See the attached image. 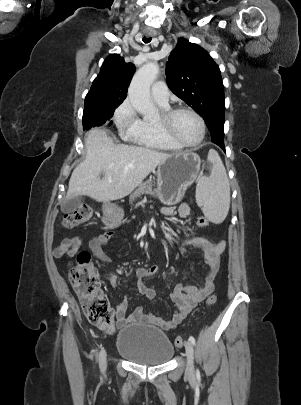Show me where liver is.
Segmentation results:
<instances>
[{
  "mask_svg": "<svg viewBox=\"0 0 301 405\" xmlns=\"http://www.w3.org/2000/svg\"><path fill=\"white\" fill-rule=\"evenodd\" d=\"M85 150V159L70 177L66 200L80 195L98 202L123 198L170 155L145 147L114 144L101 128L86 133Z\"/></svg>",
  "mask_w": 301,
  "mask_h": 405,
  "instance_id": "1",
  "label": "liver"
}]
</instances>
